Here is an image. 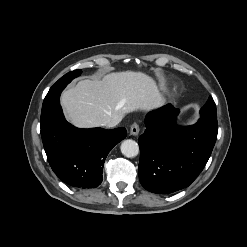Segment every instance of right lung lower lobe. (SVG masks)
I'll return each instance as SVG.
<instances>
[{"label":"right lung lower lobe","mask_w":247,"mask_h":247,"mask_svg":"<svg viewBox=\"0 0 247 247\" xmlns=\"http://www.w3.org/2000/svg\"><path fill=\"white\" fill-rule=\"evenodd\" d=\"M40 127L52 170L63 182L79 188L101 184L108 153L127 135L123 127L112 130L74 127L65 120L60 100L42 108Z\"/></svg>","instance_id":"98d812e1"}]
</instances>
